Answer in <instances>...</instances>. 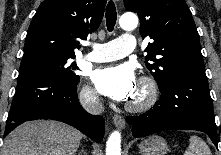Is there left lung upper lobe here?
I'll use <instances>...</instances> for the list:
<instances>
[{
    "label": "left lung upper lobe",
    "mask_w": 221,
    "mask_h": 155,
    "mask_svg": "<svg viewBox=\"0 0 221 155\" xmlns=\"http://www.w3.org/2000/svg\"><path fill=\"white\" fill-rule=\"evenodd\" d=\"M124 5L138 14L143 39H152L145 63L160 91L182 74L205 72L199 35L184 0H124Z\"/></svg>",
    "instance_id": "5c2ea615"
}]
</instances>
